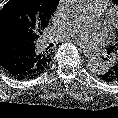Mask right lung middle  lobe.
I'll return each instance as SVG.
<instances>
[{
	"label": "right lung middle lobe",
	"mask_w": 118,
	"mask_h": 118,
	"mask_svg": "<svg viewBox=\"0 0 118 118\" xmlns=\"http://www.w3.org/2000/svg\"><path fill=\"white\" fill-rule=\"evenodd\" d=\"M48 21L37 0H9L0 10V24L10 25L25 38L40 32Z\"/></svg>",
	"instance_id": "obj_1"
}]
</instances>
